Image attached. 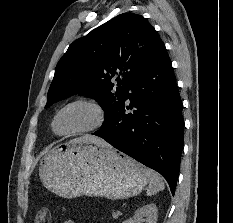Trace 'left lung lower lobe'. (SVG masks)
<instances>
[{
  "label": "left lung lower lobe",
  "instance_id": "left-lung-lower-lobe-1",
  "mask_svg": "<svg viewBox=\"0 0 233 223\" xmlns=\"http://www.w3.org/2000/svg\"><path fill=\"white\" fill-rule=\"evenodd\" d=\"M130 104L93 133L159 172L174 195L183 148V104L160 39L128 97ZM132 112L128 113L127 110Z\"/></svg>",
  "mask_w": 233,
  "mask_h": 223
}]
</instances>
